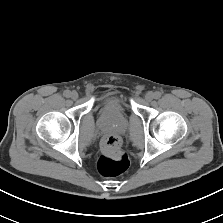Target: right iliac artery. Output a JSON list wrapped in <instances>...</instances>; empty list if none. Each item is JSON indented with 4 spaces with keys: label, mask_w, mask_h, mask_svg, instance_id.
I'll list each match as a JSON object with an SVG mask.
<instances>
[{
    "label": "right iliac artery",
    "mask_w": 223,
    "mask_h": 223,
    "mask_svg": "<svg viewBox=\"0 0 223 223\" xmlns=\"http://www.w3.org/2000/svg\"><path fill=\"white\" fill-rule=\"evenodd\" d=\"M63 95L68 98L71 96V92L69 90L64 91Z\"/></svg>",
    "instance_id": "1"
}]
</instances>
